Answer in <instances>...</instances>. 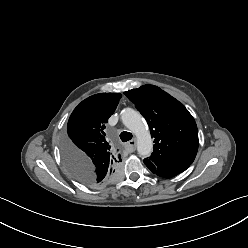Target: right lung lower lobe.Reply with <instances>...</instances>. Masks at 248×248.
Here are the masks:
<instances>
[{
	"label": "right lung lower lobe",
	"mask_w": 248,
	"mask_h": 248,
	"mask_svg": "<svg viewBox=\"0 0 248 248\" xmlns=\"http://www.w3.org/2000/svg\"><path fill=\"white\" fill-rule=\"evenodd\" d=\"M64 163H65V165L67 166V167H69V168H72V169H75V167H77L74 163H73V161H72V159L71 158H64ZM85 173V175L83 176V178H82V183H84V184H87V185H92V181H91V179L89 178V176H88V174L86 173V172H84ZM99 178V177H98ZM106 179H104V181H105Z\"/></svg>",
	"instance_id": "right-lung-lower-lobe-1"
}]
</instances>
